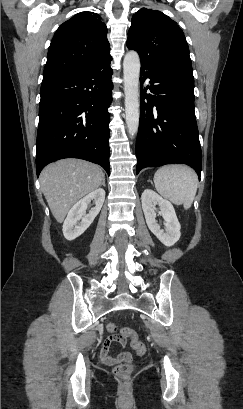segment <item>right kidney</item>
Masks as SVG:
<instances>
[{"instance_id": "right-kidney-1", "label": "right kidney", "mask_w": 243, "mask_h": 409, "mask_svg": "<svg viewBox=\"0 0 243 409\" xmlns=\"http://www.w3.org/2000/svg\"><path fill=\"white\" fill-rule=\"evenodd\" d=\"M94 200L95 207L92 208L88 214L86 209L88 204ZM105 200V190L98 188L84 198L79 200L69 211L64 224L63 235L71 241L83 234L91 225L95 217L99 214ZM81 220V222H79Z\"/></svg>"}]
</instances>
